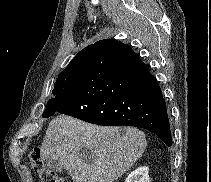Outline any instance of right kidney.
Segmentation results:
<instances>
[{"mask_svg":"<svg viewBox=\"0 0 211 182\" xmlns=\"http://www.w3.org/2000/svg\"><path fill=\"white\" fill-rule=\"evenodd\" d=\"M149 169L147 166H142L131 172L125 182H150Z\"/></svg>","mask_w":211,"mask_h":182,"instance_id":"right-kidney-1","label":"right kidney"}]
</instances>
